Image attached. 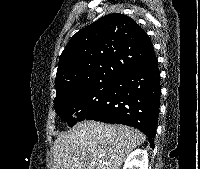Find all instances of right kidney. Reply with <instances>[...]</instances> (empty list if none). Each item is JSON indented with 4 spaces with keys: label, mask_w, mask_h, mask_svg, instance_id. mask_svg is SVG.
I'll list each match as a JSON object with an SVG mask.
<instances>
[{
    "label": "right kidney",
    "mask_w": 200,
    "mask_h": 169,
    "mask_svg": "<svg viewBox=\"0 0 200 169\" xmlns=\"http://www.w3.org/2000/svg\"><path fill=\"white\" fill-rule=\"evenodd\" d=\"M123 169H148V153L143 149H136L125 160Z\"/></svg>",
    "instance_id": "right-kidney-1"
}]
</instances>
